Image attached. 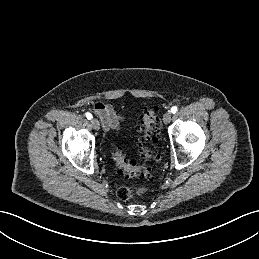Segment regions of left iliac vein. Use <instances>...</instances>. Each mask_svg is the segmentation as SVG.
<instances>
[{
    "label": "left iliac vein",
    "mask_w": 259,
    "mask_h": 259,
    "mask_svg": "<svg viewBox=\"0 0 259 259\" xmlns=\"http://www.w3.org/2000/svg\"><path fill=\"white\" fill-rule=\"evenodd\" d=\"M172 119V113L170 111H167L164 115H163V122L164 124H169L170 121Z\"/></svg>",
    "instance_id": "1"
}]
</instances>
